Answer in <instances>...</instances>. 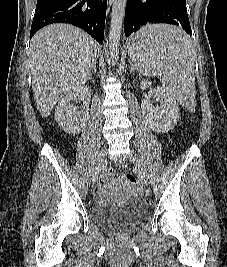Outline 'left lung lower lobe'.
<instances>
[{
    "label": "left lung lower lobe",
    "instance_id": "left-lung-lower-lobe-1",
    "mask_svg": "<svg viewBox=\"0 0 227 267\" xmlns=\"http://www.w3.org/2000/svg\"><path fill=\"white\" fill-rule=\"evenodd\" d=\"M154 23H169L180 26L192 35L186 9V0H127L124 20L125 36L135 38L142 26ZM139 42V40H134ZM181 43L176 39L163 40L160 46L172 47Z\"/></svg>",
    "mask_w": 227,
    "mask_h": 267
}]
</instances>
